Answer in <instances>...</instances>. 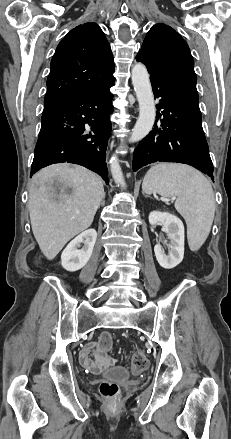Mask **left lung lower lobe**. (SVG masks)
<instances>
[{
    "instance_id": "0a47b994",
    "label": "left lung lower lobe",
    "mask_w": 231,
    "mask_h": 439,
    "mask_svg": "<svg viewBox=\"0 0 231 439\" xmlns=\"http://www.w3.org/2000/svg\"><path fill=\"white\" fill-rule=\"evenodd\" d=\"M150 74L155 99L159 102L155 127L133 154V171L154 162L191 165L214 179L208 144L202 129L198 101L137 55Z\"/></svg>"
}]
</instances>
